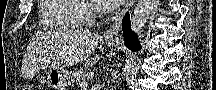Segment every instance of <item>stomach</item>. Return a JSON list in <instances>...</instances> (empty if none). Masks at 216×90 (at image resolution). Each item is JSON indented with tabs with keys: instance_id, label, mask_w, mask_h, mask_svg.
Here are the masks:
<instances>
[{
	"instance_id": "0dacf381",
	"label": "stomach",
	"mask_w": 216,
	"mask_h": 90,
	"mask_svg": "<svg viewBox=\"0 0 216 90\" xmlns=\"http://www.w3.org/2000/svg\"><path fill=\"white\" fill-rule=\"evenodd\" d=\"M108 47H114L115 41L106 42ZM47 82L56 90H66L70 83V73L64 68L49 67L46 72Z\"/></svg>"
}]
</instances>
